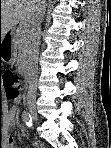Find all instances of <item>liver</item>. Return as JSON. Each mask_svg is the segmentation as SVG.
<instances>
[{
  "label": "liver",
  "instance_id": "obj_1",
  "mask_svg": "<svg viewBox=\"0 0 111 148\" xmlns=\"http://www.w3.org/2000/svg\"><path fill=\"white\" fill-rule=\"evenodd\" d=\"M38 0H1L0 36L3 39L13 26L20 21H29L36 10Z\"/></svg>",
  "mask_w": 111,
  "mask_h": 148
}]
</instances>
